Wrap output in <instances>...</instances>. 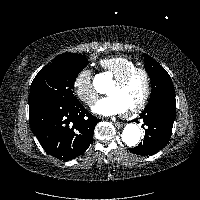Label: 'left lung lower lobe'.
Instances as JSON below:
<instances>
[{"instance_id": "1", "label": "left lung lower lobe", "mask_w": 200, "mask_h": 200, "mask_svg": "<svg viewBox=\"0 0 200 200\" xmlns=\"http://www.w3.org/2000/svg\"><path fill=\"white\" fill-rule=\"evenodd\" d=\"M175 116V96L163 95L149 101L140 114L143 128L146 126L143 143L129 148V151L145 156L153 155L164 148L170 140Z\"/></svg>"}]
</instances>
